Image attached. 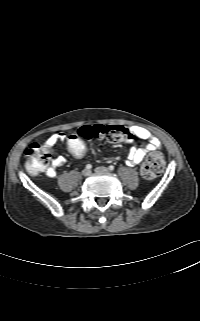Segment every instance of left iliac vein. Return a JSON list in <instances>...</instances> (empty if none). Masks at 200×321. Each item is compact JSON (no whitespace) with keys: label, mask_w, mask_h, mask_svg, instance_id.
Here are the masks:
<instances>
[{"label":"left iliac vein","mask_w":200,"mask_h":321,"mask_svg":"<svg viewBox=\"0 0 200 321\" xmlns=\"http://www.w3.org/2000/svg\"><path fill=\"white\" fill-rule=\"evenodd\" d=\"M95 171H96L97 173H104V172H108L109 169L106 168V167L100 166V167H97V168L95 169Z\"/></svg>","instance_id":"4c4485c4"}]
</instances>
